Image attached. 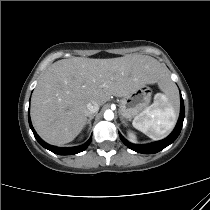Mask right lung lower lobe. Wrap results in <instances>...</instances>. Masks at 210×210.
<instances>
[{"mask_svg": "<svg viewBox=\"0 0 210 210\" xmlns=\"http://www.w3.org/2000/svg\"><path fill=\"white\" fill-rule=\"evenodd\" d=\"M28 119H29L30 128L33 131V134H34L36 140L39 142L40 145H42L44 148L50 150L53 153H56V154H59V155L77 154V153L85 150L91 142L92 137L85 144H83L81 146H78V147L61 148V147H56V146L49 145V144L45 143L43 140H41L40 137L36 134L35 130L33 129L32 124H31L30 116L28 117Z\"/></svg>", "mask_w": 210, "mask_h": 210, "instance_id": "98d812e1", "label": "right lung lower lobe"}]
</instances>
